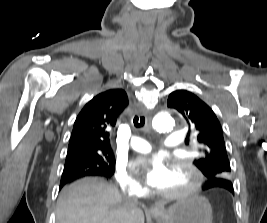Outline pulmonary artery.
Wrapping results in <instances>:
<instances>
[{
	"instance_id": "1",
	"label": "pulmonary artery",
	"mask_w": 267,
	"mask_h": 223,
	"mask_svg": "<svg viewBox=\"0 0 267 223\" xmlns=\"http://www.w3.org/2000/svg\"><path fill=\"white\" fill-rule=\"evenodd\" d=\"M183 142L182 134H168L165 140V145L170 148L178 147ZM130 145L133 150L141 153L149 152L152 149L150 142L143 138L133 136L130 141Z\"/></svg>"
}]
</instances>
